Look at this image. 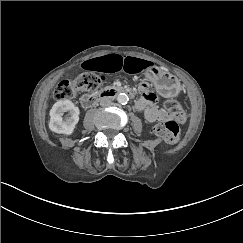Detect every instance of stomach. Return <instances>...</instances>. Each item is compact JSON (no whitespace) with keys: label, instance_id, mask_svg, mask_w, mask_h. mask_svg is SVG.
<instances>
[{"label":"stomach","instance_id":"stomach-1","mask_svg":"<svg viewBox=\"0 0 243 243\" xmlns=\"http://www.w3.org/2000/svg\"><path fill=\"white\" fill-rule=\"evenodd\" d=\"M145 76L164 97H175L181 89L180 82L173 75L162 71L158 67L151 66L147 68Z\"/></svg>","mask_w":243,"mask_h":243}]
</instances>
